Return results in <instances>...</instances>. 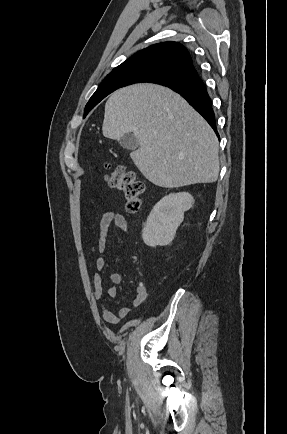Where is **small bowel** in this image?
Returning a JSON list of instances; mask_svg holds the SVG:
<instances>
[{
    "label": "small bowel",
    "mask_w": 287,
    "mask_h": 434,
    "mask_svg": "<svg viewBox=\"0 0 287 434\" xmlns=\"http://www.w3.org/2000/svg\"><path fill=\"white\" fill-rule=\"evenodd\" d=\"M112 226L117 227L125 233H128L129 231L127 219L122 214L113 211H106L99 221L100 237L97 242V250L100 254H102L106 249L107 237ZM105 265V257L100 255L95 261L97 271L93 276L94 297L96 301L101 304L104 320L111 325H117L121 319L127 317L135 308L145 302L147 299V289L143 282H139L136 286L135 297L132 305L121 307L117 314L112 312L104 303V291L106 290L110 297H115L117 294V288L115 285L122 282L123 276L120 272H111L109 275L111 285L105 287L102 279V271L104 270Z\"/></svg>",
    "instance_id": "obj_1"
}]
</instances>
